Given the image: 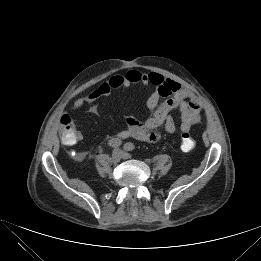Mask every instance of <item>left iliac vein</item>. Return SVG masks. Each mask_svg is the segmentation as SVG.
Instances as JSON below:
<instances>
[{"label": "left iliac vein", "mask_w": 261, "mask_h": 261, "mask_svg": "<svg viewBox=\"0 0 261 261\" xmlns=\"http://www.w3.org/2000/svg\"><path fill=\"white\" fill-rule=\"evenodd\" d=\"M123 159H128L130 158V155L128 153L122 152V156Z\"/></svg>", "instance_id": "4c4485c4"}]
</instances>
